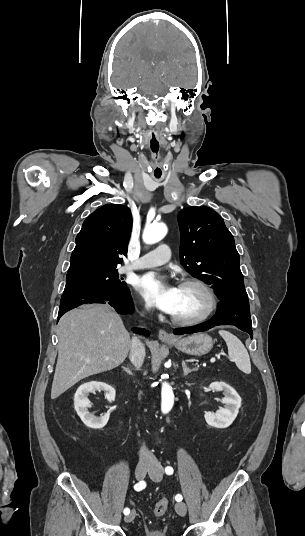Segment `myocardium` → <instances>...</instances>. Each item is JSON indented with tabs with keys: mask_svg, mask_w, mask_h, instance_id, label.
Returning a JSON list of instances; mask_svg holds the SVG:
<instances>
[{
	"mask_svg": "<svg viewBox=\"0 0 305 536\" xmlns=\"http://www.w3.org/2000/svg\"><path fill=\"white\" fill-rule=\"evenodd\" d=\"M180 285H195L201 288L209 298V307L201 315L197 316H178L171 313V319L179 324L194 325L205 322L212 318L218 311L220 300L216 290L205 280L197 277H185Z\"/></svg>",
	"mask_w": 305,
	"mask_h": 536,
	"instance_id": "f54148a6",
	"label": "myocardium"
}]
</instances>
